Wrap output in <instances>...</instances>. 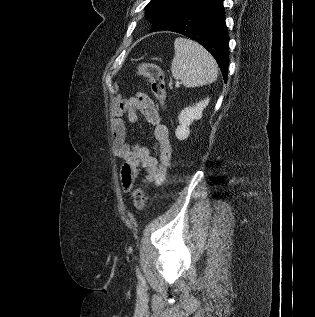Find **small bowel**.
I'll list each match as a JSON object with an SVG mask.
<instances>
[{
	"instance_id": "c3829d8e",
	"label": "small bowel",
	"mask_w": 315,
	"mask_h": 317,
	"mask_svg": "<svg viewBox=\"0 0 315 317\" xmlns=\"http://www.w3.org/2000/svg\"><path fill=\"white\" fill-rule=\"evenodd\" d=\"M138 114L154 127L152 148L157 157L151 154L149 147L130 144L127 141V128L123 116L125 115L130 123L138 124ZM110 126L114 135L113 153L123 160L121 178L124 189L128 190L131 187L141 167L147 170L144 182L156 186L162 184L170 167L172 146L168 128L162 124L153 100L147 94L140 93L121 103L113 110Z\"/></svg>"
}]
</instances>
